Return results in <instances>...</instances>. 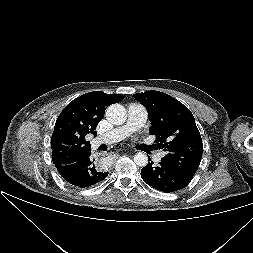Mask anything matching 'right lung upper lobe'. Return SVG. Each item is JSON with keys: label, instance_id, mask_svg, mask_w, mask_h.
I'll return each mask as SVG.
<instances>
[{"label": "right lung upper lobe", "instance_id": "cb5924a9", "mask_svg": "<svg viewBox=\"0 0 253 253\" xmlns=\"http://www.w3.org/2000/svg\"><path fill=\"white\" fill-rule=\"evenodd\" d=\"M123 98L121 94L94 91L71 101L56 120L51 138L55 166L74 163L90 154V144L85 136L89 133L96 136L95 129L106 108Z\"/></svg>", "mask_w": 253, "mask_h": 253}]
</instances>
